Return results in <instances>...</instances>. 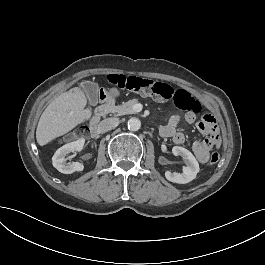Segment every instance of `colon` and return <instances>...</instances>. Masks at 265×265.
Wrapping results in <instances>:
<instances>
[{"label":"colon","mask_w":265,"mask_h":265,"mask_svg":"<svg viewBox=\"0 0 265 265\" xmlns=\"http://www.w3.org/2000/svg\"><path fill=\"white\" fill-rule=\"evenodd\" d=\"M107 82L141 96L152 97L162 102L171 101L181 111L200 114L202 110V104L198 99L186 90L176 89L166 82L118 73L110 74ZM219 158V153L213 152L209 160L211 163H217Z\"/></svg>","instance_id":"5ec220e1"}]
</instances>
